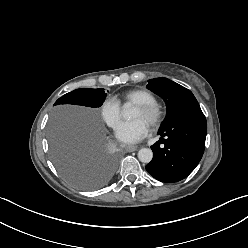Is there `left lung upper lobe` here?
<instances>
[{
  "label": "left lung upper lobe",
  "mask_w": 248,
  "mask_h": 248,
  "mask_svg": "<svg viewBox=\"0 0 248 248\" xmlns=\"http://www.w3.org/2000/svg\"><path fill=\"white\" fill-rule=\"evenodd\" d=\"M148 82L147 88L161 96L167 107L166 117L159 129L169 124L185 107L197 102L190 90L167 78H155Z\"/></svg>",
  "instance_id": "left-lung-upper-lobe-1"
}]
</instances>
